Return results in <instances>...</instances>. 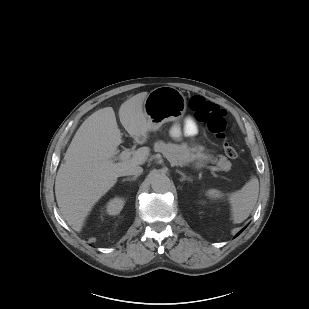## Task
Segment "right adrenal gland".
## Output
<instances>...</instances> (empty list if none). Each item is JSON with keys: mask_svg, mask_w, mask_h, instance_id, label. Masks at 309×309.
Listing matches in <instances>:
<instances>
[{"mask_svg": "<svg viewBox=\"0 0 309 309\" xmlns=\"http://www.w3.org/2000/svg\"><path fill=\"white\" fill-rule=\"evenodd\" d=\"M138 176H133L131 178H125L122 180V182H125V181H135L137 179Z\"/></svg>", "mask_w": 309, "mask_h": 309, "instance_id": "obj_1", "label": "right adrenal gland"}]
</instances>
